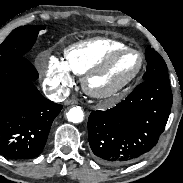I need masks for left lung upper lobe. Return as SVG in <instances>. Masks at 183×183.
Segmentation results:
<instances>
[{
    "label": "left lung upper lobe",
    "instance_id": "left-lung-upper-lobe-1",
    "mask_svg": "<svg viewBox=\"0 0 183 183\" xmlns=\"http://www.w3.org/2000/svg\"><path fill=\"white\" fill-rule=\"evenodd\" d=\"M145 57L147 61V71L143 76L144 81H169L167 66L162 57L151 47L146 49Z\"/></svg>",
    "mask_w": 183,
    "mask_h": 183
}]
</instances>
